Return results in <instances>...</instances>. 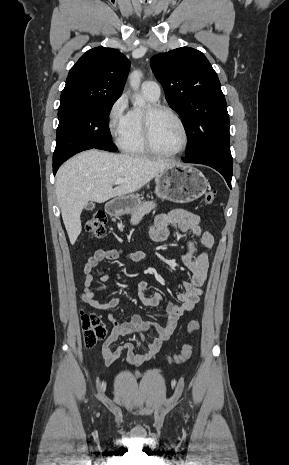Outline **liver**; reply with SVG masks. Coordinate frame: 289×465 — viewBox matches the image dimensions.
<instances>
[{"instance_id": "obj_1", "label": "liver", "mask_w": 289, "mask_h": 465, "mask_svg": "<svg viewBox=\"0 0 289 465\" xmlns=\"http://www.w3.org/2000/svg\"><path fill=\"white\" fill-rule=\"evenodd\" d=\"M173 164L95 149L66 161L57 172L55 190L70 243L81 233L80 215L88 201L103 203L132 194ZM118 179L124 182L113 188Z\"/></svg>"}]
</instances>
